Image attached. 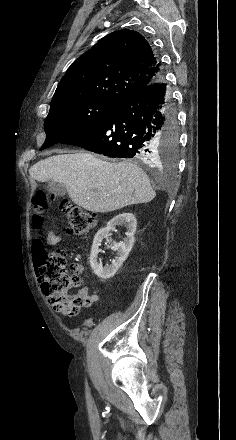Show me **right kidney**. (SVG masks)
I'll list each match as a JSON object with an SVG mask.
<instances>
[{"mask_svg":"<svg viewBox=\"0 0 236 440\" xmlns=\"http://www.w3.org/2000/svg\"><path fill=\"white\" fill-rule=\"evenodd\" d=\"M117 225H125L127 231L125 233L126 238L122 242L116 243L112 239H109L110 248L113 251H117L115 259L110 265L103 267L98 262V253L100 252L99 246L104 238L108 239L111 235L109 232ZM137 221L132 213H121L111 219L105 228L100 229L93 240L91 253H90V266L93 272L101 279L106 280L113 277L118 269L122 266L123 262L129 255L134 243V234L136 232Z\"/></svg>","mask_w":236,"mask_h":440,"instance_id":"right-kidney-1","label":"right kidney"}]
</instances>
